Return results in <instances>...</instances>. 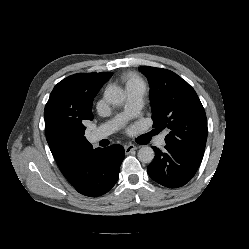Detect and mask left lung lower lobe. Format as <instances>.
<instances>
[{
  "label": "left lung lower lobe",
  "mask_w": 249,
  "mask_h": 249,
  "mask_svg": "<svg viewBox=\"0 0 249 249\" xmlns=\"http://www.w3.org/2000/svg\"><path fill=\"white\" fill-rule=\"evenodd\" d=\"M155 158L148 167V174L157 183L177 188L185 185L195 175L202 158L185 150L166 145L162 152L153 146Z\"/></svg>",
  "instance_id": "0a47b994"
}]
</instances>
